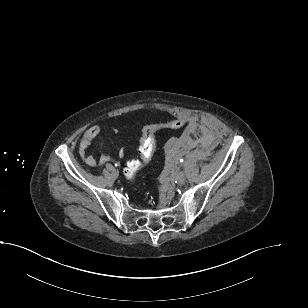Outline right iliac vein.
Wrapping results in <instances>:
<instances>
[{
    "label": "right iliac vein",
    "mask_w": 308,
    "mask_h": 308,
    "mask_svg": "<svg viewBox=\"0 0 308 308\" xmlns=\"http://www.w3.org/2000/svg\"><path fill=\"white\" fill-rule=\"evenodd\" d=\"M115 173H116L117 175L119 174V172H118L117 170L115 171Z\"/></svg>",
    "instance_id": "1"
}]
</instances>
